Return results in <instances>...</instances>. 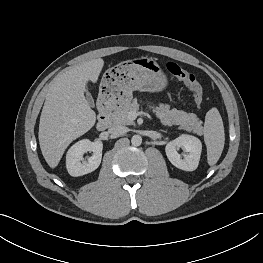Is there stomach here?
Wrapping results in <instances>:
<instances>
[{"mask_svg": "<svg viewBox=\"0 0 263 263\" xmlns=\"http://www.w3.org/2000/svg\"><path fill=\"white\" fill-rule=\"evenodd\" d=\"M167 83V77L156 60L141 57L109 68L100 84V96L123 106L129 103L133 91L159 92Z\"/></svg>", "mask_w": 263, "mask_h": 263, "instance_id": "0dacf381", "label": "stomach"}]
</instances>
